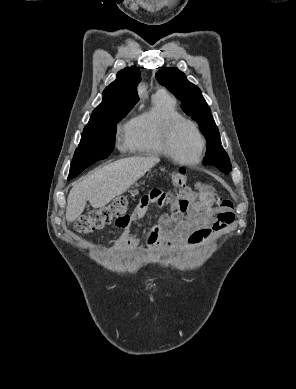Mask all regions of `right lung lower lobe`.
I'll use <instances>...</instances> for the list:
<instances>
[{"label": "right lung lower lobe", "instance_id": "98d812e1", "mask_svg": "<svg viewBox=\"0 0 296 389\" xmlns=\"http://www.w3.org/2000/svg\"><path fill=\"white\" fill-rule=\"evenodd\" d=\"M85 168H87L86 166H83V167H80L78 169H74V170H70V173H69V176H68V180L76 177L78 174H80Z\"/></svg>", "mask_w": 296, "mask_h": 389}]
</instances>
